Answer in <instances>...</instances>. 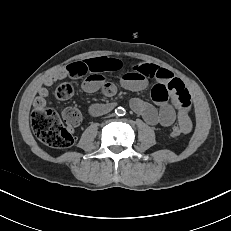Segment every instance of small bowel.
I'll return each instance as SVG.
<instances>
[{
  "label": "small bowel",
  "instance_id": "obj_1",
  "mask_svg": "<svg viewBox=\"0 0 231 231\" xmlns=\"http://www.w3.org/2000/svg\"><path fill=\"white\" fill-rule=\"evenodd\" d=\"M76 64L81 66L82 76H85L82 84L85 92L93 93L101 90L108 97L116 93V85L107 81L104 74L124 70L125 64L122 61L109 57H97L76 62ZM67 75L65 68L59 69L52 76L46 78L37 90L34 106L46 105L48 88ZM150 80L155 81L151 90L154 104L134 98L130 101L133 111L151 125L169 127L178 120V123L184 127L185 133H189L192 130L191 96L184 83L169 70L152 63L134 61L129 64L127 70L121 73L119 84L130 91H141L147 87ZM106 109V105H94L89 108V112L97 114Z\"/></svg>",
  "mask_w": 231,
  "mask_h": 231
}]
</instances>
